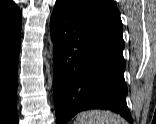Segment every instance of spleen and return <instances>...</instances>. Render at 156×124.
<instances>
[{"instance_id":"1","label":"spleen","mask_w":156,"mask_h":124,"mask_svg":"<svg viewBox=\"0 0 156 124\" xmlns=\"http://www.w3.org/2000/svg\"><path fill=\"white\" fill-rule=\"evenodd\" d=\"M74 124H127V122L110 111L90 110L79 113Z\"/></svg>"}]
</instances>
